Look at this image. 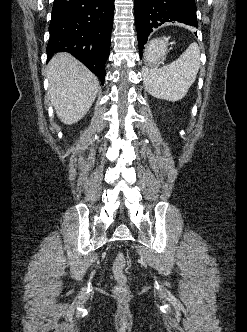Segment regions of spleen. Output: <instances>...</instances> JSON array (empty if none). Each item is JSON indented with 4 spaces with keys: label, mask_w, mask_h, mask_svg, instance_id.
Listing matches in <instances>:
<instances>
[{
    "label": "spleen",
    "mask_w": 247,
    "mask_h": 332,
    "mask_svg": "<svg viewBox=\"0 0 247 332\" xmlns=\"http://www.w3.org/2000/svg\"><path fill=\"white\" fill-rule=\"evenodd\" d=\"M200 68V49L192 43L178 59L160 67L144 70L146 90L158 99L181 100L194 83Z\"/></svg>",
    "instance_id": "obj_1"
}]
</instances>
